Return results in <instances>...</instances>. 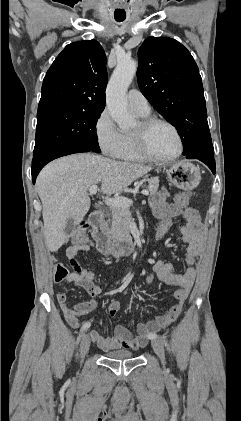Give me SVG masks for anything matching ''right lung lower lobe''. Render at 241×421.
<instances>
[{
	"instance_id": "1",
	"label": "right lung lower lobe",
	"mask_w": 241,
	"mask_h": 421,
	"mask_svg": "<svg viewBox=\"0 0 241 421\" xmlns=\"http://www.w3.org/2000/svg\"><path fill=\"white\" fill-rule=\"evenodd\" d=\"M81 152H90L89 149L85 148H68L63 149L55 152L48 153L44 156L33 158L32 160V181L35 184L36 177L40 170L50 161L74 153H81Z\"/></svg>"
}]
</instances>
